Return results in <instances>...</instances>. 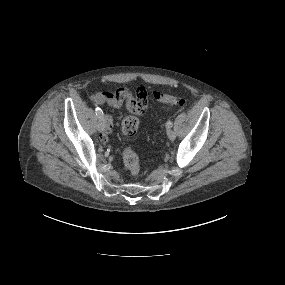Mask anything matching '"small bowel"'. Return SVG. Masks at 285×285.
I'll return each instance as SVG.
<instances>
[{
    "instance_id": "1",
    "label": "small bowel",
    "mask_w": 285,
    "mask_h": 285,
    "mask_svg": "<svg viewBox=\"0 0 285 285\" xmlns=\"http://www.w3.org/2000/svg\"><path fill=\"white\" fill-rule=\"evenodd\" d=\"M91 101L98 105H108L110 107H120L123 104L127 107L128 111L135 115H142L146 112L148 106V94L143 87L142 95L127 88H119L114 92L98 91L91 95ZM105 123L107 128L102 136L104 142L108 141V134L113 126V119L110 115L105 116Z\"/></svg>"
}]
</instances>
